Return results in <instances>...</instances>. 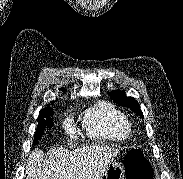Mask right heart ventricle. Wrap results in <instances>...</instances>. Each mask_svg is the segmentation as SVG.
Instances as JSON below:
<instances>
[{
    "instance_id": "e07e8e85",
    "label": "right heart ventricle",
    "mask_w": 183,
    "mask_h": 179,
    "mask_svg": "<svg viewBox=\"0 0 183 179\" xmlns=\"http://www.w3.org/2000/svg\"><path fill=\"white\" fill-rule=\"evenodd\" d=\"M83 125L93 139L124 140L131 132V125L125 114L108 102H99L89 108Z\"/></svg>"
}]
</instances>
